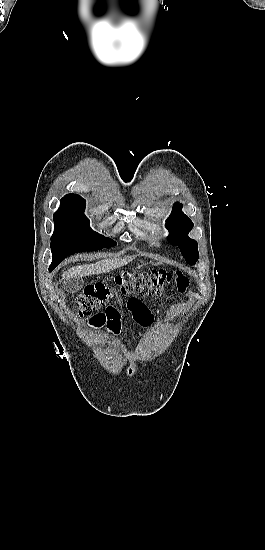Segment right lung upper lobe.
<instances>
[{
    "mask_svg": "<svg viewBox=\"0 0 265 550\" xmlns=\"http://www.w3.org/2000/svg\"><path fill=\"white\" fill-rule=\"evenodd\" d=\"M81 200H84V199L81 198L79 195L68 194L61 200V204H63V203H76V202H79Z\"/></svg>",
    "mask_w": 265,
    "mask_h": 550,
    "instance_id": "1",
    "label": "right lung upper lobe"
}]
</instances>
